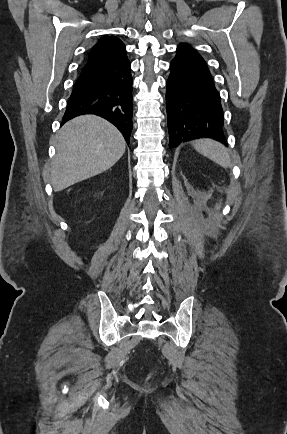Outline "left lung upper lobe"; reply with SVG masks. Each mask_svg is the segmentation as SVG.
<instances>
[{"label":"left lung upper lobe","instance_id":"1","mask_svg":"<svg viewBox=\"0 0 287 434\" xmlns=\"http://www.w3.org/2000/svg\"><path fill=\"white\" fill-rule=\"evenodd\" d=\"M177 53H183V54L195 55L201 57L193 48H191L189 44H185V43L179 44L177 48Z\"/></svg>","mask_w":287,"mask_h":434}]
</instances>
